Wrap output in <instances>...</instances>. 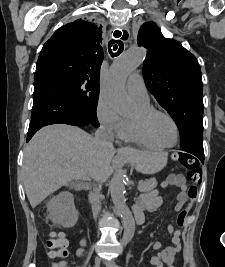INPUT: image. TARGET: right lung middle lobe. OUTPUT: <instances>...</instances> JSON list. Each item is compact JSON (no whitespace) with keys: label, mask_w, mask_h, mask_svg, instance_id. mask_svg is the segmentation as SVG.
Wrapping results in <instances>:
<instances>
[{"label":"right lung middle lobe","mask_w":225,"mask_h":267,"mask_svg":"<svg viewBox=\"0 0 225 267\" xmlns=\"http://www.w3.org/2000/svg\"><path fill=\"white\" fill-rule=\"evenodd\" d=\"M55 80L61 83L73 97L75 102L86 112L90 121L98 126L96 108L99 96V85L85 78L66 74H51Z\"/></svg>","instance_id":"right-lung-middle-lobe-1"}]
</instances>
